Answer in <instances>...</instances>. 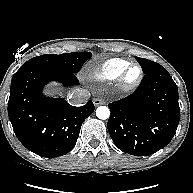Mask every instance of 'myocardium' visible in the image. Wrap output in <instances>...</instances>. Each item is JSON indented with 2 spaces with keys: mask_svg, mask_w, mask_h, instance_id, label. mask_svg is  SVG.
I'll return each instance as SVG.
<instances>
[{
  "mask_svg": "<svg viewBox=\"0 0 193 193\" xmlns=\"http://www.w3.org/2000/svg\"><path fill=\"white\" fill-rule=\"evenodd\" d=\"M134 67H137L139 69V76L138 78L133 81V82H127L126 78H127V75L129 73V71L134 68ZM143 77H144V72H143V69L142 67L137 64V63H130L120 74L119 76L117 77V80H116V85H117V88L121 91V92H131L133 90H135L139 85L140 83L142 82L143 80Z\"/></svg>",
  "mask_w": 193,
  "mask_h": 193,
  "instance_id": "myocardium-1",
  "label": "myocardium"
}]
</instances>
